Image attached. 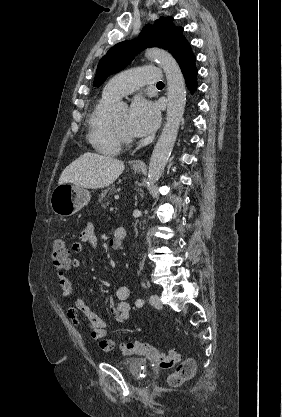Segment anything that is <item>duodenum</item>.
<instances>
[{"mask_svg": "<svg viewBox=\"0 0 282 417\" xmlns=\"http://www.w3.org/2000/svg\"><path fill=\"white\" fill-rule=\"evenodd\" d=\"M125 237H126L125 229L123 227L117 228L115 235H114V245H116L117 247H120Z\"/></svg>", "mask_w": 282, "mask_h": 417, "instance_id": "obj_1", "label": "duodenum"}]
</instances>
